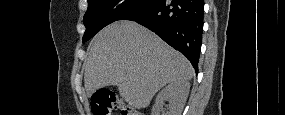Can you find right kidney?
<instances>
[{"instance_id":"1","label":"right kidney","mask_w":285,"mask_h":115,"mask_svg":"<svg viewBox=\"0 0 285 115\" xmlns=\"http://www.w3.org/2000/svg\"><path fill=\"white\" fill-rule=\"evenodd\" d=\"M190 90L188 81L173 82L163 88L156 96L152 115H180ZM168 101V110L164 112V102Z\"/></svg>"}]
</instances>
